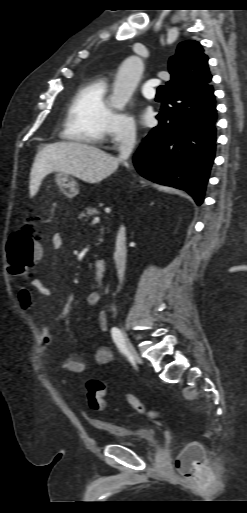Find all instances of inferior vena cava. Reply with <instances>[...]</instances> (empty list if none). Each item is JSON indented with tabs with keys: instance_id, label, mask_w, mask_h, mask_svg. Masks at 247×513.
I'll list each match as a JSON object with an SVG mask.
<instances>
[{
	"instance_id": "1",
	"label": "inferior vena cava",
	"mask_w": 247,
	"mask_h": 513,
	"mask_svg": "<svg viewBox=\"0 0 247 513\" xmlns=\"http://www.w3.org/2000/svg\"><path fill=\"white\" fill-rule=\"evenodd\" d=\"M136 143V131L133 127H127L121 137V144L119 146V157L120 161H126L131 156L134 146ZM114 259L117 267V274L120 282L123 281L125 262H126V244H125V230L122 226L118 232L116 240V248L114 253Z\"/></svg>"
}]
</instances>
